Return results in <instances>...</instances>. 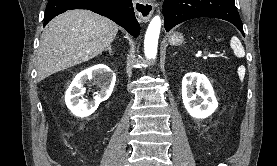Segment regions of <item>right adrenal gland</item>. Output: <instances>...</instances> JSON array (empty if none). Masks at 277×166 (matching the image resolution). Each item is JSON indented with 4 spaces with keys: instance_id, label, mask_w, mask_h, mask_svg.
<instances>
[{
    "instance_id": "obj_1",
    "label": "right adrenal gland",
    "mask_w": 277,
    "mask_h": 166,
    "mask_svg": "<svg viewBox=\"0 0 277 166\" xmlns=\"http://www.w3.org/2000/svg\"><path fill=\"white\" fill-rule=\"evenodd\" d=\"M107 50H108V52H109L110 54L113 53L112 47H111V46H109V47L107 48Z\"/></svg>"
}]
</instances>
